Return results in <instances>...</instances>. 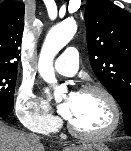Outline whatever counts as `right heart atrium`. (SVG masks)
Masks as SVG:
<instances>
[{"label": "right heart atrium", "mask_w": 131, "mask_h": 151, "mask_svg": "<svg viewBox=\"0 0 131 151\" xmlns=\"http://www.w3.org/2000/svg\"><path fill=\"white\" fill-rule=\"evenodd\" d=\"M15 109L20 122L30 130L45 133L56 126L57 118L52 115L48 104L34 92L30 83L21 84L15 99Z\"/></svg>", "instance_id": "d8ad5b80"}]
</instances>
